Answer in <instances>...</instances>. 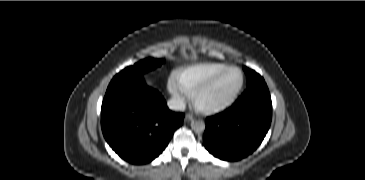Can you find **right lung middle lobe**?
<instances>
[{"mask_svg": "<svg viewBox=\"0 0 365 180\" xmlns=\"http://www.w3.org/2000/svg\"><path fill=\"white\" fill-rule=\"evenodd\" d=\"M162 63L163 59L148 58L141 60L133 66H129L119 72L116 76H114L109 85H113L128 78L142 77L145 72L160 66Z\"/></svg>", "mask_w": 365, "mask_h": 180, "instance_id": "1", "label": "right lung middle lobe"}]
</instances>
